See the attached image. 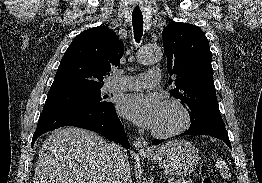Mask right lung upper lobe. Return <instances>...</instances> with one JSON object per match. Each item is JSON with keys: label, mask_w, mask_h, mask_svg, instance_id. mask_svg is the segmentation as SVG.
<instances>
[{"label": "right lung upper lobe", "mask_w": 262, "mask_h": 183, "mask_svg": "<svg viewBox=\"0 0 262 183\" xmlns=\"http://www.w3.org/2000/svg\"><path fill=\"white\" fill-rule=\"evenodd\" d=\"M124 45L106 26L80 33L69 45L49 92L103 86L111 67L120 66Z\"/></svg>", "instance_id": "right-lung-upper-lobe-1"}]
</instances>
